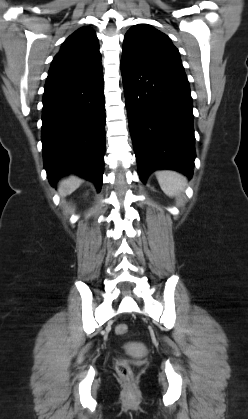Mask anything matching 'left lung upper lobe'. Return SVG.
Returning a JSON list of instances; mask_svg holds the SVG:
<instances>
[{
    "label": "left lung upper lobe",
    "instance_id": "obj_1",
    "mask_svg": "<svg viewBox=\"0 0 248 419\" xmlns=\"http://www.w3.org/2000/svg\"><path fill=\"white\" fill-rule=\"evenodd\" d=\"M122 55L139 64L186 77L178 49L167 35L150 25L138 24L129 29Z\"/></svg>",
    "mask_w": 248,
    "mask_h": 419
}]
</instances>
